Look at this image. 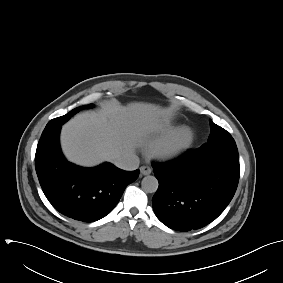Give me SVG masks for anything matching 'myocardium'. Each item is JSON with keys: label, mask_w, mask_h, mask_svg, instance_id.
<instances>
[{"label": "myocardium", "mask_w": 283, "mask_h": 283, "mask_svg": "<svg viewBox=\"0 0 283 283\" xmlns=\"http://www.w3.org/2000/svg\"><path fill=\"white\" fill-rule=\"evenodd\" d=\"M195 133L190 127H181L163 140L153 144L149 153L160 161H173L187 152L194 143Z\"/></svg>", "instance_id": "myocardium-1"}]
</instances>
